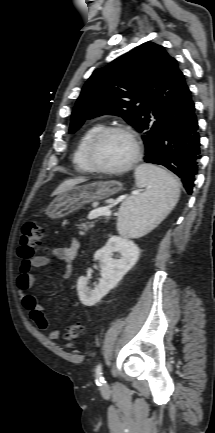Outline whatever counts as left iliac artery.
<instances>
[{"label": "left iliac artery", "mask_w": 215, "mask_h": 433, "mask_svg": "<svg viewBox=\"0 0 215 433\" xmlns=\"http://www.w3.org/2000/svg\"><path fill=\"white\" fill-rule=\"evenodd\" d=\"M95 377H96V381L105 382L104 378L102 376V365L101 364H98L96 369H95Z\"/></svg>", "instance_id": "44dca946"}]
</instances>
